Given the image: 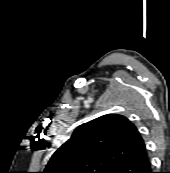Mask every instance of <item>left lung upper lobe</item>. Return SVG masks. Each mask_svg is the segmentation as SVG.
Returning <instances> with one entry per match:
<instances>
[{"label":"left lung upper lobe","mask_w":170,"mask_h":173,"mask_svg":"<svg viewBox=\"0 0 170 173\" xmlns=\"http://www.w3.org/2000/svg\"><path fill=\"white\" fill-rule=\"evenodd\" d=\"M145 151L137 128L126 117L103 115L77 127L43 173H114Z\"/></svg>","instance_id":"5c2ea615"}]
</instances>
